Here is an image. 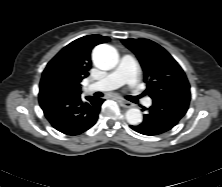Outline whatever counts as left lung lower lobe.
Returning a JSON list of instances; mask_svg holds the SVG:
<instances>
[{"instance_id": "left-lung-lower-lobe-1", "label": "left lung lower lobe", "mask_w": 222, "mask_h": 187, "mask_svg": "<svg viewBox=\"0 0 222 187\" xmlns=\"http://www.w3.org/2000/svg\"><path fill=\"white\" fill-rule=\"evenodd\" d=\"M190 96H166L153 100L141 124L130 127L148 136L160 135L172 129L187 112Z\"/></svg>"}]
</instances>
